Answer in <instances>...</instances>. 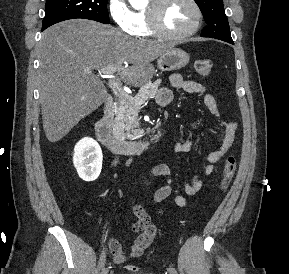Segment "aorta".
Here are the masks:
<instances>
[{"label":"aorta","instance_id":"aorta-1","mask_svg":"<svg viewBox=\"0 0 289 274\" xmlns=\"http://www.w3.org/2000/svg\"><path fill=\"white\" fill-rule=\"evenodd\" d=\"M147 0H129L131 5L135 8H141L146 4Z\"/></svg>","mask_w":289,"mask_h":274}]
</instances>
